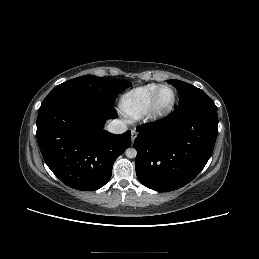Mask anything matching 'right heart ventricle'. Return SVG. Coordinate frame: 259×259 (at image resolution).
<instances>
[{
  "mask_svg": "<svg viewBox=\"0 0 259 259\" xmlns=\"http://www.w3.org/2000/svg\"><path fill=\"white\" fill-rule=\"evenodd\" d=\"M159 87V84L152 83L126 92L120 99L122 113L130 119H137L144 115Z\"/></svg>",
  "mask_w": 259,
  "mask_h": 259,
  "instance_id": "1",
  "label": "right heart ventricle"
}]
</instances>
